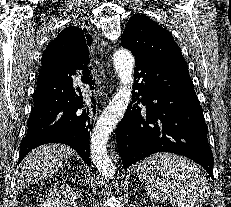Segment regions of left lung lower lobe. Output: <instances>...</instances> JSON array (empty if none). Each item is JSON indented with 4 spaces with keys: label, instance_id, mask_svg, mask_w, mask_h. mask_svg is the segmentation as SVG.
Listing matches in <instances>:
<instances>
[{
    "label": "left lung lower lobe",
    "instance_id": "left-lung-lower-lobe-1",
    "mask_svg": "<svg viewBox=\"0 0 231 207\" xmlns=\"http://www.w3.org/2000/svg\"><path fill=\"white\" fill-rule=\"evenodd\" d=\"M134 74L132 102L117 129L124 169L155 152H171L200 164L213 179L208 127L188 68L139 57Z\"/></svg>",
    "mask_w": 231,
    "mask_h": 207
}]
</instances>
